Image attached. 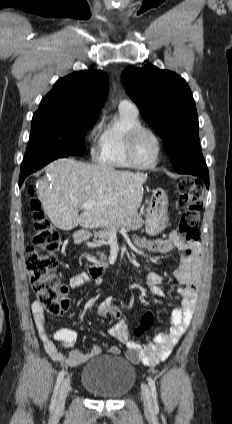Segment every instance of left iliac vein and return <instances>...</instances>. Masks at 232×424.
<instances>
[{
  "label": "left iliac vein",
  "mask_w": 232,
  "mask_h": 424,
  "mask_svg": "<svg viewBox=\"0 0 232 424\" xmlns=\"http://www.w3.org/2000/svg\"><path fill=\"white\" fill-rule=\"evenodd\" d=\"M141 394H142V398H143V405H144L145 413L152 414L153 413V402H152L150 389L146 384H142Z\"/></svg>",
  "instance_id": "obj_1"
}]
</instances>
